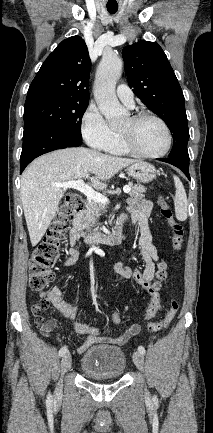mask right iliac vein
<instances>
[{
	"mask_svg": "<svg viewBox=\"0 0 213 433\" xmlns=\"http://www.w3.org/2000/svg\"><path fill=\"white\" fill-rule=\"evenodd\" d=\"M71 362H72L71 355L69 352H67L66 354H64V356L61 359V364H60L61 374H64L71 368ZM61 395H62V385L59 382L55 390V397L59 398Z\"/></svg>",
	"mask_w": 213,
	"mask_h": 433,
	"instance_id": "63e3f726",
	"label": "right iliac vein"
}]
</instances>
